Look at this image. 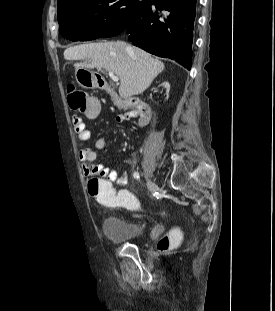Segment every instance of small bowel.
Returning a JSON list of instances; mask_svg holds the SVG:
<instances>
[{
  "instance_id": "c3829d8e",
  "label": "small bowel",
  "mask_w": 275,
  "mask_h": 311,
  "mask_svg": "<svg viewBox=\"0 0 275 311\" xmlns=\"http://www.w3.org/2000/svg\"><path fill=\"white\" fill-rule=\"evenodd\" d=\"M137 111H131L118 116V121L123 122L131 118L137 117ZM73 129L76 133L78 144V159L81 163V168L86 178L92 179L94 175H101L102 178H109L110 183L123 187L127 184V172L119 173L103 163H96L97 153L94 149L90 148L87 144L90 139V133L86 128L84 121L80 117H74ZM106 145V139L100 137L95 140L94 147L101 150ZM126 162H129L128 160Z\"/></svg>"
}]
</instances>
